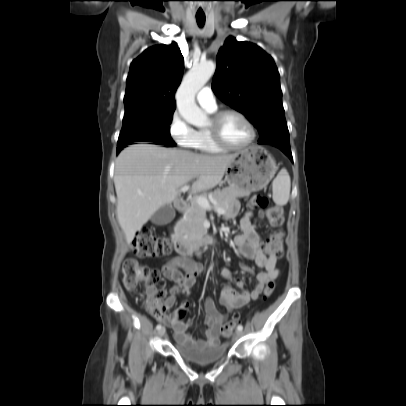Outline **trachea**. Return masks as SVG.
<instances>
[{
	"instance_id": "1",
	"label": "trachea",
	"mask_w": 406,
	"mask_h": 406,
	"mask_svg": "<svg viewBox=\"0 0 406 406\" xmlns=\"http://www.w3.org/2000/svg\"><path fill=\"white\" fill-rule=\"evenodd\" d=\"M196 21H197L199 27H203V25L205 23V18H196Z\"/></svg>"
}]
</instances>
